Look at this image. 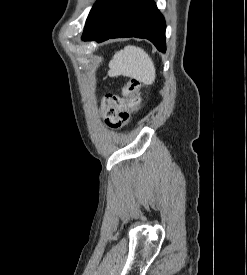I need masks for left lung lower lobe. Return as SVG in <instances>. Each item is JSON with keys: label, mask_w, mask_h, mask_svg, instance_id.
Here are the masks:
<instances>
[{"label": "left lung lower lobe", "mask_w": 247, "mask_h": 275, "mask_svg": "<svg viewBox=\"0 0 247 275\" xmlns=\"http://www.w3.org/2000/svg\"><path fill=\"white\" fill-rule=\"evenodd\" d=\"M165 29L164 17L153 0H100L87 18L82 39L146 38L165 52Z\"/></svg>", "instance_id": "0a47b994"}]
</instances>
